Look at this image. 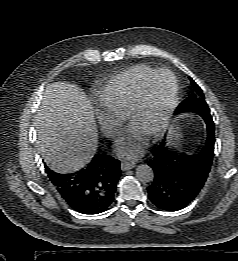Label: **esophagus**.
Returning a JSON list of instances; mask_svg holds the SVG:
<instances>
[{"instance_id": "34e87169", "label": "esophagus", "mask_w": 238, "mask_h": 261, "mask_svg": "<svg viewBox=\"0 0 238 261\" xmlns=\"http://www.w3.org/2000/svg\"><path fill=\"white\" fill-rule=\"evenodd\" d=\"M134 167H135V163H133V162H127V161L121 162V170L122 171L130 170Z\"/></svg>"}]
</instances>
